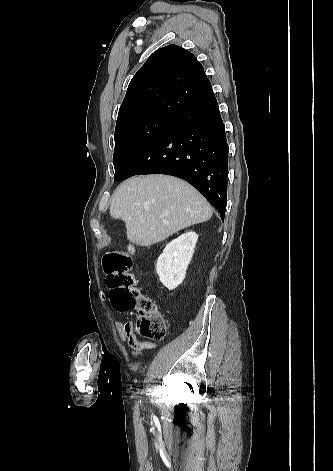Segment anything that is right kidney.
I'll return each instance as SVG.
<instances>
[{
  "label": "right kidney",
  "instance_id": "obj_1",
  "mask_svg": "<svg viewBox=\"0 0 333 471\" xmlns=\"http://www.w3.org/2000/svg\"><path fill=\"white\" fill-rule=\"evenodd\" d=\"M197 240L195 232H186L167 244L159 256L156 271L161 283L169 290L183 282Z\"/></svg>",
  "mask_w": 333,
  "mask_h": 471
}]
</instances>
